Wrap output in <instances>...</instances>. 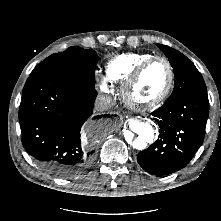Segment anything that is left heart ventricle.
I'll use <instances>...</instances> for the list:
<instances>
[{
  "label": "left heart ventricle",
  "mask_w": 221,
  "mask_h": 221,
  "mask_svg": "<svg viewBox=\"0 0 221 221\" xmlns=\"http://www.w3.org/2000/svg\"><path fill=\"white\" fill-rule=\"evenodd\" d=\"M169 79L167 66L162 61L151 64L133 89V97L139 102H148L158 97Z\"/></svg>",
  "instance_id": "left-heart-ventricle-1"
}]
</instances>
